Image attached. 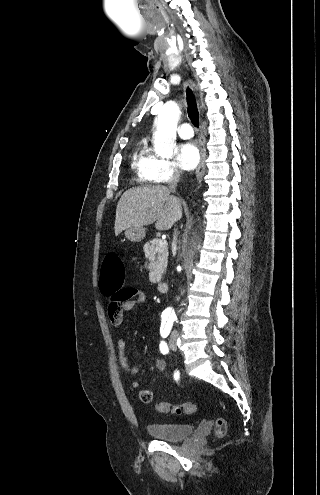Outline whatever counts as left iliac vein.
I'll list each match as a JSON object with an SVG mask.
<instances>
[{"instance_id": "4c4485c4", "label": "left iliac vein", "mask_w": 320, "mask_h": 495, "mask_svg": "<svg viewBox=\"0 0 320 495\" xmlns=\"http://www.w3.org/2000/svg\"><path fill=\"white\" fill-rule=\"evenodd\" d=\"M176 339H177L176 333H172L170 338H169V346H170L171 350H173V351H176V349H177Z\"/></svg>"}]
</instances>
